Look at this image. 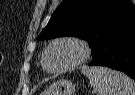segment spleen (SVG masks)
Segmentation results:
<instances>
[{
  "mask_svg": "<svg viewBox=\"0 0 135 95\" xmlns=\"http://www.w3.org/2000/svg\"><path fill=\"white\" fill-rule=\"evenodd\" d=\"M96 95H135V82L121 72L104 67L81 68Z\"/></svg>",
  "mask_w": 135,
  "mask_h": 95,
  "instance_id": "3e777b00",
  "label": "spleen"
}]
</instances>
